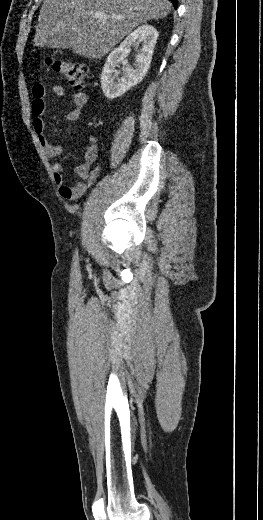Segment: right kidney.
<instances>
[{
    "mask_svg": "<svg viewBox=\"0 0 263 520\" xmlns=\"http://www.w3.org/2000/svg\"><path fill=\"white\" fill-rule=\"evenodd\" d=\"M158 35L153 26L141 25L109 54L100 78L103 93L108 99L122 96L142 81L150 67ZM139 45L141 48L135 58V67L127 66L123 76L119 78L118 64L128 56L131 47Z\"/></svg>",
    "mask_w": 263,
    "mask_h": 520,
    "instance_id": "ca27d5eb",
    "label": "right kidney"
}]
</instances>
